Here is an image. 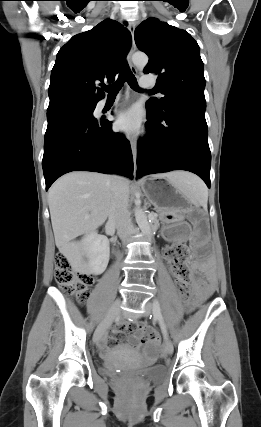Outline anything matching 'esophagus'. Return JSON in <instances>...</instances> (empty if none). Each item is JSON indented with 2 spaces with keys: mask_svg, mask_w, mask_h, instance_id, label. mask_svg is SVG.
I'll return each mask as SVG.
<instances>
[{
  "mask_svg": "<svg viewBox=\"0 0 261 427\" xmlns=\"http://www.w3.org/2000/svg\"><path fill=\"white\" fill-rule=\"evenodd\" d=\"M129 30H130L131 37H132V45H131L130 51L127 55V61H128V64L131 68V71L133 73H137V69L134 66L133 60H132L134 52L136 50V45H135V40H134V31H135V23L134 22L130 23ZM131 151H132V156H133L134 174H136V171H137V146H136V142L134 139L131 140Z\"/></svg>",
  "mask_w": 261,
  "mask_h": 427,
  "instance_id": "esophagus-1",
  "label": "esophagus"
}]
</instances>
